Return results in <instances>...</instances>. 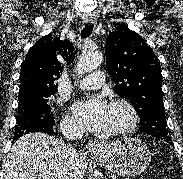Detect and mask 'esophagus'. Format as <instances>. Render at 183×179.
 <instances>
[{
	"mask_svg": "<svg viewBox=\"0 0 183 179\" xmlns=\"http://www.w3.org/2000/svg\"><path fill=\"white\" fill-rule=\"evenodd\" d=\"M93 22L94 21L92 19H87L86 20V23L89 24V25L92 24ZM101 147H102V143L97 141V140H94V141H90L88 143L87 148L91 153H97V152L100 151Z\"/></svg>",
	"mask_w": 183,
	"mask_h": 179,
	"instance_id": "obj_1",
	"label": "esophagus"
}]
</instances>
